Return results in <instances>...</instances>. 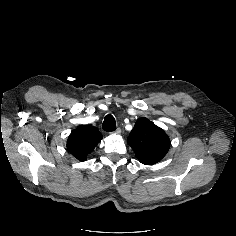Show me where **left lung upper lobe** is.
<instances>
[{"label": "left lung upper lobe", "instance_id": "left-lung-upper-lobe-1", "mask_svg": "<svg viewBox=\"0 0 236 236\" xmlns=\"http://www.w3.org/2000/svg\"><path fill=\"white\" fill-rule=\"evenodd\" d=\"M128 143L138 160L146 165L159 162L170 148V140L166 133L146 118L136 121L128 137Z\"/></svg>", "mask_w": 236, "mask_h": 236}]
</instances>
